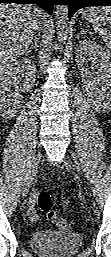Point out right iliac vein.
<instances>
[{
	"mask_svg": "<svg viewBox=\"0 0 111 257\" xmlns=\"http://www.w3.org/2000/svg\"><path fill=\"white\" fill-rule=\"evenodd\" d=\"M41 153L38 152L34 159H33V162H32V166H31V169L29 171V174H28V178H27V181L25 183V187L23 189V197H25L35 179V176H36V173H37V170H38V166H39V163L41 161Z\"/></svg>",
	"mask_w": 111,
	"mask_h": 257,
	"instance_id": "obj_1",
	"label": "right iliac vein"
}]
</instances>
